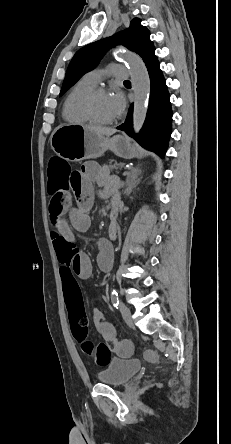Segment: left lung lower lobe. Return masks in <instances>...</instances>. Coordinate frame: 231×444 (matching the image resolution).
Returning a JSON list of instances; mask_svg holds the SVG:
<instances>
[{"label":"left lung lower lobe","instance_id":"0a47b994","mask_svg":"<svg viewBox=\"0 0 231 444\" xmlns=\"http://www.w3.org/2000/svg\"><path fill=\"white\" fill-rule=\"evenodd\" d=\"M145 65L150 77L151 92L144 125L139 134L133 133L132 104L125 122L117 129L125 131L129 136L134 137L140 145L163 157L172 132L170 95L155 53L147 58Z\"/></svg>","mask_w":231,"mask_h":444}]
</instances>
